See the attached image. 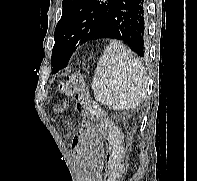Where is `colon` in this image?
Segmentation results:
<instances>
[{
  "label": "colon",
  "mask_w": 197,
  "mask_h": 181,
  "mask_svg": "<svg viewBox=\"0 0 197 181\" xmlns=\"http://www.w3.org/2000/svg\"><path fill=\"white\" fill-rule=\"evenodd\" d=\"M58 89L66 97H73L76 100L77 110L84 118L97 122L98 130L105 136L107 147L104 181H119L124 173L120 129L106 118L104 111L89 97L79 74L68 75L65 81L58 84ZM59 106L64 109L66 104L60 102Z\"/></svg>",
  "instance_id": "obj_1"
}]
</instances>
